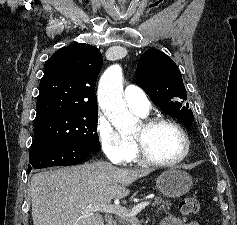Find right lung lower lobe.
<instances>
[{
  "label": "right lung lower lobe",
  "instance_id": "obj_1",
  "mask_svg": "<svg viewBox=\"0 0 237 225\" xmlns=\"http://www.w3.org/2000/svg\"><path fill=\"white\" fill-rule=\"evenodd\" d=\"M90 151L46 138H34L30 147L28 173L32 169L78 164L88 158Z\"/></svg>",
  "mask_w": 237,
  "mask_h": 225
}]
</instances>
